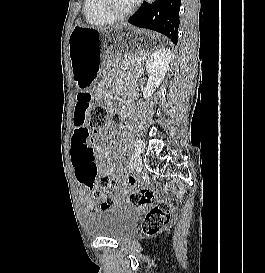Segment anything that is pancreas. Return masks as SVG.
<instances>
[{
  "label": "pancreas",
  "mask_w": 265,
  "mask_h": 273,
  "mask_svg": "<svg viewBox=\"0 0 265 273\" xmlns=\"http://www.w3.org/2000/svg\"><path fill=\"white\" fill-rule=\"evenodd\" d=\"M125 59L132 66H135V65L139 64V62H140L139 57H137V56H132V57L127 56Z\"/></svg>",
  "instance_id": "cf45deb5"
}]
</instances>
